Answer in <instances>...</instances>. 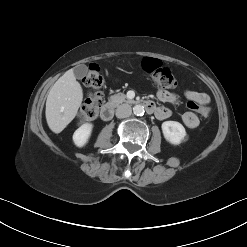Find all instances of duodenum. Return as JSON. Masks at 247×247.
I'll return each instance as SVG.
<instances>
[{
	"instance_id": "410a0bca",
	"label": "duodenum",
	"mask_w": 247,
	"mask_h": 247,
	"mask_svg": "<svg viewBox=\"0 0 247 247\" xmlns=\"http://www.w3.org/2000/svg\"><path fill=\"white\" fill-rule=\"evenodd\" d=\"M144 106L147 111L155 113L157 108L153 102L147 101L144 103ZM114 114V105L112 103H107L101 110V118L105 121L110 120Z\"/></svg>"
}]
</instances>
